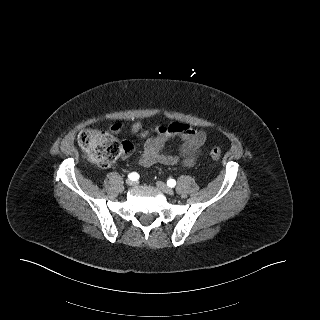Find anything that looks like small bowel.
I'll return each mask as SVG.
<instances>
[{"label":"small bowel","instance_id":"obj_1","mask_svg":"<svg viewBox=\"0 0 320 320\" xmlns=\"http://www.w3.org/2000/svg\"><path fill=\"white\" fill-rule=\"evenodd\" d=\"M111 129L115 134L120 132L119 125H113ZM131 132L145 139L143 152L139 159V163L143 167L155 164L170 166L180 163L184 167L190 168L194 166L207 139L204 131L183 123H171L154 129H144L143 124L136 121L131 125ZM153 133L154 135H152ZM173 138H180L182 143L177 153H166L164 147ZM122 144L124 146L123 156L127 157L132 151V145L128 141H124Z\"/></svg>","mask_w":320,"mask_h":320}]
</instances>
